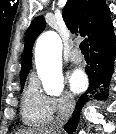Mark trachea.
<instances>
[{"instance_id": "1", "label": "trachea", "mask_w": 116, "mask_h": 134, "mask_svg": "<svg viewBox=\"0 0 116 134\" xmlns=\"http://www.w3.org/2000/svg\"><path fill=\"white\" fill-rule=\"evenodd\" d=\"M80 50H81L83 55H89V44H88L87 39H84L80 43Z\"/></svg>"}]
</instances>
